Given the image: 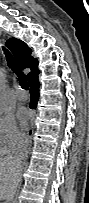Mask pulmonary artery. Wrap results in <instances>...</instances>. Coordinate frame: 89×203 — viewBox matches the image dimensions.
Here are the masks:
<instances>
[{
    "label": "pulmonary artery",
    "instance_id": "obj_1",
    "mask_svg": "<svg viewBox=\"0 0 89 203\" xmlns=\"http://www.w3.org/2000/svg\"><path fill=\"white\" fill-rule=\"evenodd\" d=\"M15 97L19 101H24L28 98V94L25 91L18 89L15 91Z\"/></svg>",
    "mask_w": 89,
    "mask_h": 203
}]
</instances>
